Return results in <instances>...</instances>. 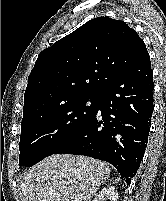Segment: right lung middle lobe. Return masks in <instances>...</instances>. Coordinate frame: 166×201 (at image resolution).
Segmentation results:
<instances>
[{
	"instance_id": "dd1d6c3e",
	"label": "right lung middle lobe",
	"mask_w": 166,
	"mask_h": 201,
	"mask_svg": "<svg viewBox=\"0 0 166 201\" xmlns=\"http://www.w3.org/2000/svg\"><path fill=\"white\" fill-rule=\"evenodd\" d=\"M90 102V105H86ZM97 96H85L23 116L19 143V165L32 166L52 155L83 127L96 111Z\"/></svg>"
}]
</instances>
